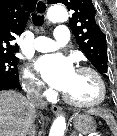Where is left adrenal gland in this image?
<instances>
[{
    "label": "left adrenal gland",
    "instance_id": "obj_1",
    "mask_svg": "<svg viewBox=\"0 0 117 136\" xmlns=\"http://www.w3.org/2000/svg\"><path fill=\"white\" fill-rule=\"evenodd\" d=\"M71 136H75V132H73V133L71 134Z\"/></svg>",
    "mask_w": 117,
    "mask_h": 136
}]
</instances>
